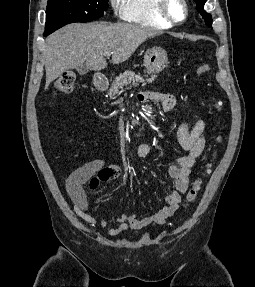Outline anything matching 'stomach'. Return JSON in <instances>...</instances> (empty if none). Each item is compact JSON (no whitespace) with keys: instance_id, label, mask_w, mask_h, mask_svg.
I'll list each match as a JSON object with an SVG mask.
<instances>
[{"instance_id":"obj_1","label":"stomach","mask_w":255,"mask_h":287,"mask_svg":"<svg viewBox=\"0 0 255 287\" xmlns=\"http://www.w3.org/2000/svg\"><path fill=\"white\" fill-rule=\"evenodd\" d=\"M167 64L168 56L164 48L153 46V48H149V50L145 52L144 66H146L147 72H150V74H158V72H162Z\"/></svg>"}]
</instances>
